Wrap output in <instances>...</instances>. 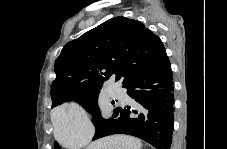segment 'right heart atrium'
I'll return each instance as SVG.
<instances>
[{
    "label": "right heart atrium",
    "instance_id": "1",
    "mask_svg": "<svg viewBox=\"0 0 227 149\" xmlns=\"http://www.w3.org/2000/svg\"><path fill=\"white\" fill-rule=\"evenodd\" d=\"M55 136L64 146H83L91 140L94 128L78 102L64 104L52 116Z\"/></svg>",
    "mask_w": 227,
    "mask_h": 149
}]
</instances>
